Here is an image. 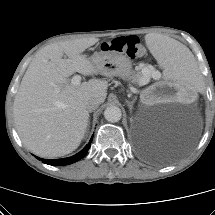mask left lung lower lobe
Here are the masks:
<instances>
[{"instance_id": "left-lung-lower-lobe-1", "label": "left lung lower lobe", "mask_w": 215, "mask_h": 215, "mask_svg": "<svg viewBox=\"0 0 215 215\" xmlns=\"http://www.w3.org/2000/svg\"><path fill=\"white\" fill-rule=\"evenodd\" d=\"M146 154H148L149 156H159L160 153L162 152L161 148H146L144 149Z\"/></svg>"}]
</instances>
